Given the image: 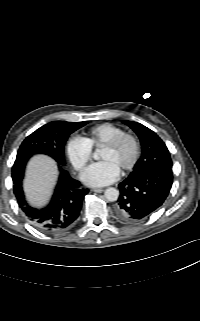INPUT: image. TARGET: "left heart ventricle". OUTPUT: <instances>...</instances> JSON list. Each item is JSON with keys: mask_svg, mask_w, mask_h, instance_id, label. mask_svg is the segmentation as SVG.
<instances>
[{"mask_svg": "<svg viewBox=\"0 0 200 321\" xmlns=\"http://www.w3.org/2000/svg\"><path fill=\"white\" fill-rule=\"evenodd\" d=\"M133 155V144L130 140L122 141L116 148L107 149L102 148L99 152L101 160H108L112 162L119 170L127 165Z\"/></svg>", "mask_w": 200, "mask_h": 321, "instance_id": "left-heart-ventricle-1", "label": "left heart ventricle"}]
</instances>
